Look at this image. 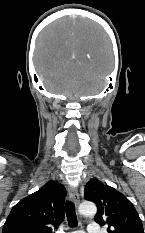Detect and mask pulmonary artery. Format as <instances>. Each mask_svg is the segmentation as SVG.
Returning a JSON list of instances; mask_svg holds the SVG:
<instances>
[{
	"instance_id": "1",
	"label": "pulmonary artery",
	"mask_w": 145,
	"mask_h": 233,
	"mask_svg": "<svg viewBox=\"0 0 145 233\" xmlns=\"http://www.w3.org/2000/svg\"><path fill=\"white\" fill-rule=\"evenodd\" d=\"M72 233H101L100 226L97 223H90L87 227V231H74Z\"/></svg>"
}]
</instances>
